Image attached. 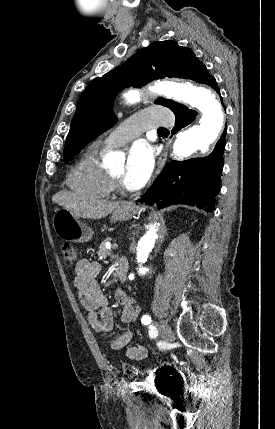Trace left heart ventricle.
Wrapping results in <instances>:
<instances>
[{"instance_id": "obj_1", "label": "left heart ventricle", "mask_w": 275, "mask_h": 429, "mask_svg": "<svg viewBox=\"0 0 275 429\" xmlns=\"http://www.w3.org/2000/svg\"><path fill=\"white\" fill-rule=\"evenodd\" d=\"M124 169H125L124 163H120L110 170V172L121 181L122 185H123L122 178L124 175Z\"/></svg>"}]
</instances>
